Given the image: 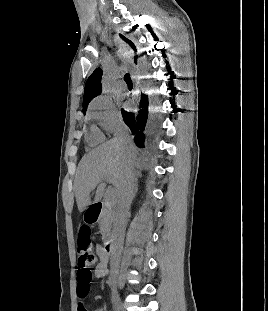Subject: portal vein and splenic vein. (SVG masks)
<instances>
[{
    "instance_id": "1",
    "label": "portal vein and splenic vein",
    "mask_w": 268,
    "mask_h": 311,
    "mask_svg": "<svg viewBox=\"0 0 268 311\" xmlns=\"http://www.w3.org/2000/svg\"><path fill=\"white\" fill-rule=\"evenodd\" d=\"M106 181L109 182V183L112 182L111 178H106ZM109 196H110V197H113V196H114V190H111V191H110Z\"/></svg>"
}]
</instances>
